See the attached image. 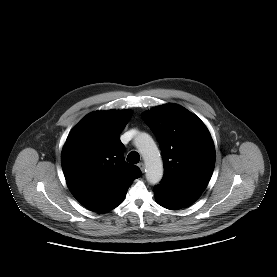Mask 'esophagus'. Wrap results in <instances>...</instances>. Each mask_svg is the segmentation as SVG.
I'll return each instance as SVG.
<instances>
[{
	"label": "esophagus",
	"instance_id": "1",
	"mask_svg": "<svg viewBox=\"0 0 277 277\" xmlns=\"http://www.w3.org/2000/svg\"><path fill=\"white\" fill-rule=\"evenodd\" d=\"M138 167L140 168V170H141L142 172L145 171V165H144L143 162L139 163V164H138Z\"/></svg>",
	"mask_w": 277,
	"mask_h": 277
}]
</instances>
